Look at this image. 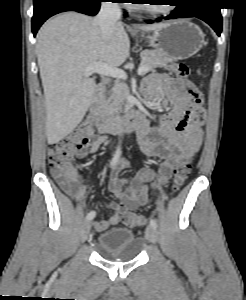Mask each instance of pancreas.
I'll list each match as a JSON object with an SVG mask.
<instances>
[{"instance_id":"obj_1","label":"pancreas","mask_w":246,"mask_h":300,"mask_svg":"<svg viewBox=\"0 0 246 300\" xmlns=\"http://www.w3.org/2000/svg\"><path fill=\"white\" fill-rule=\"evenodd\" d=\"M140 56L142 58L141 65L147 67V72L153 71L157 67H166L168 63L173 62V60L165 57L158 50H144ZM128 95L129 89L125 83L114 85L108 96H104L101 99L102 111L107 114L118 112Z\"/></svg>"}]
</instances>
